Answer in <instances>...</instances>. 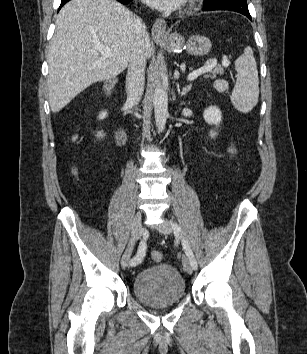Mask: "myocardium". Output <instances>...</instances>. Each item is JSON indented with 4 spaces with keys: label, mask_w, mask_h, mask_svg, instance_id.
<instances>
[{
    "label": "myocardium",
    "mask_w": 307,
    "mask_h": 354,
    "mask_svg": "<svg viewBox=\"0 0 307 354\" xmlns=\"http://www.w3.org/2000/svg\"><path fill=\"white\" fill-rule=\"evenodd\" d=\"M197 1L198 0H185L184 7L186 9L191 8L192 6H194L196 4Z\"/></svg>",
    "instance_id": "obj_1"
}]
</instances>
